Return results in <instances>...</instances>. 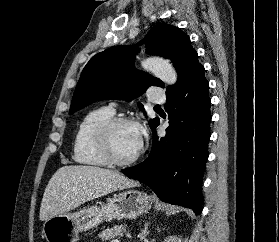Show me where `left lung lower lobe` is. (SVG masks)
Here are the masks:
<instances>
[{
  "mask_svg": "<svg viewBox=\"0 0 279 242\" xmlns=\"http://www.w3.org/2000/svg\"><path fill=\"white\" fill-rule=\"evenodd\" d=\"M204 67L197 53L189 59L177 84L168 92L165 110L170 125L166 136L155 139L148 158L130 168L126 176L148 185L164 202L202 212V181L208 159L211 100Z\"/></svg>",
  "mask_w": 279,
  "mask_h": 242,
  "instance_id": "0a47b994",
  "label": "left lung lower lobe"
}]
</instances>
